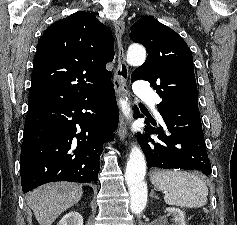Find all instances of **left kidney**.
<instances>
[{
  "label": "left kidney",
  "instance_id": "obj_1",
  "mask_svg": "<svg viewBox=\"0 0 237 225\" xmlns=\"http://www.w3.org/2000/svg\"><path fill=\"white\" fill-rule=\"evenodd\" d=\"M167 211L173 217L172 225H186L184 213L179 208L169 207Z\"/></svg>",
  "mask_w": 237,
  "mask_h": 225
}]
</instances>
